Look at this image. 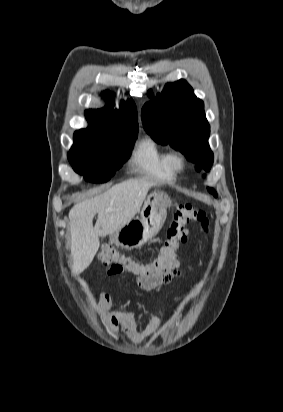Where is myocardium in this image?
Wrapping results in <instances>:
<instances>
[{"label": "myocardium", "instance_id": "myocardium-1", "mask_svg": "<svg viewBox=\"0 0 283 412\" xmlns=\"http://www.w3.org/2000/svg\"><path fill=\"white\" fill-rule=\"evenodd\" d=\"M169 165L174 172H181L186 167V158L181 153H171Z\"/></svg>", "mask_w": 283, "mask_h": 412}]
</instances>
